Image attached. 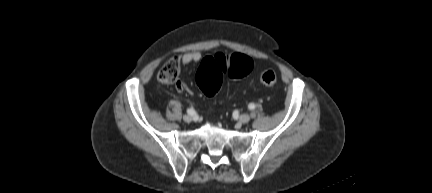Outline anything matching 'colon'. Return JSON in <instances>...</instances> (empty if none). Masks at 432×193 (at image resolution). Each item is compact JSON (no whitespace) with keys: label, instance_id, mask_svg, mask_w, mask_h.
I'll use <instances>...</instances> for the list:
<instances>
[{"label":"colon","instance_id":"colon-1","mask_svg":"<svg viewBox=\"0 0 432 193\" xmlns=\"http://www.w3.org/2000/svg\"><path fill=\"white\" fill-rule=\"evenodd\" d=\"M252 60L243 54H221L203 60L196 75L199 88L208 96H213L219 90L223 76L240 78L246 76L252 69ZM180 72L179 60L170 58L158 72V79L163 83H174ZM263 86L272 87L277 83V75L272 70L264 71L260 76Z\"/></svg>","mask_w":432,"mask_h":193}]
</instances>
